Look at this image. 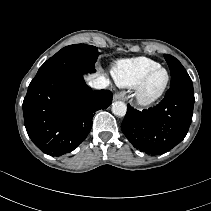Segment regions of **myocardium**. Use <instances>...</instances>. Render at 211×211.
<instances>
[{"instance_id":"1","label":"myocardium","mask_w":211,"mask_h":211,"mask_svg":"<svg viewBox=\"0 0 211 211\" xmlns=\"http://www.w3.org/2000/svg\"><path fill=\"white\" fill-rule=\"evenodd\" d=\"M161 70L166 73V79L164 83L157 91L149 92L148 85H149L150 79L156 72L161 71ZM169 82H170V73L166 68L162 66L153 68L143 77V79L141 80V82L138 84L136 88L135 97H136L137 103L142 107L153 106L163 97V95L165 94L168 88Z\"/></svg>"}]
</instances>
